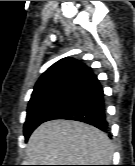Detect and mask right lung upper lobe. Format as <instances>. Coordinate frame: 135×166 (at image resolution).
<instances>
[{"mask_svg": "<svg viewBox=\"0 0 135 166\" xmlns=\"http://www.w3.org/2000/svg\"><path fill=\"white\" fill-rule=\"evenodd\" d=\"M91 68L82 62L67 57L53 64L37 81L30 102L62 87L78 82L91 74Z\"/></svg>", "mask_w": 135, "mask_h": 166, "instance_id": "cb5924a9", "label": "right lung upper lobe"}]
</instances>
